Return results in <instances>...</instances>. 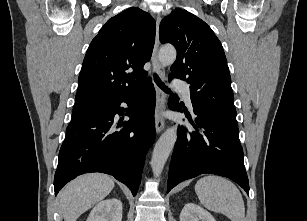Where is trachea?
<instances>
[{"mask_svg":"<svg viewBox=\"0 0 307 221\" xmlns=\"http://www.w3.org/2000/svg\"><path fill=\"white\" fill-rule=\"evenodd\" d=\"M154 80L156 84L165 92H170V89L161 81V79L158 77V75H154Z\"/></svg>","mask_w":307,"mask_h":221,"instance_id":"trachea-1","label":"trachea"}]
</instances>
